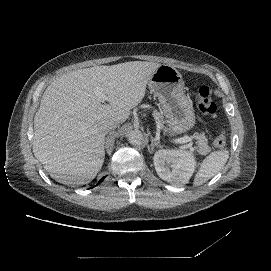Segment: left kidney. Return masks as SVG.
Instances as JSON below:
<instances>
[{
    "label": "left kidney",
    "instance_id": "5707ae66",
    "mask_svg": "<svg viewBox=\"0 0 271 271\" xmlns=\"http://www.w3.org/2000/svg\"><path fill=\"white\" fill-rule=\"evenodd\" d=\"M153 160L159 177L178 186L189 182L196 166L193 153L188 151L159 150Z\"/></svg>",
    "mask_w": 271,
    "mask_h": 271
}]
</instances>
